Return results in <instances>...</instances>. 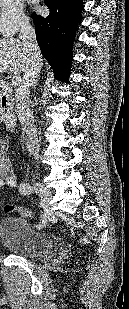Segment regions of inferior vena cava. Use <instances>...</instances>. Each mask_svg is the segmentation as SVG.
Wrapping results in <instances>:
<instances>
[{
    "instance_id": "inferior-vena-cava-1",
    "label": "inferior vena cava",
    "mask_w": 129,
    "mask_h": 309,
    "mask_svg": "<svg viewBox=\"0 0 129 309\" xmlns=\"http://www.w3.org/2000/svg\"><path fill=\"white\" fill-rule=\"evenodd\" d=\"M19 39L27 49L30 66L24 73L22 82L16 91V112L21 124L27 129L29 151L36 158L38 156V139L34 128L33 114L30 109V90L37 83L42 64L35 30L28 21L22 23Z\"/></svg>"
}]
</instances>
